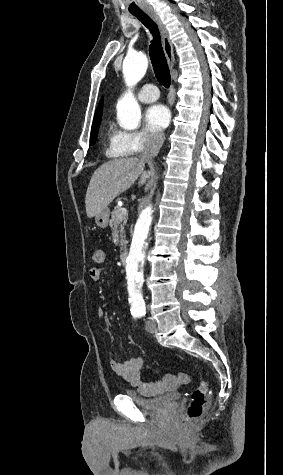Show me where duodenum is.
Wrapping results in <instances>:
<instances>
[{"instance_id": "obj_1", "label": "duodenum", "mask_w": 283, "mask_h": 475, "mask_svg": "<svg viewBox=\"0 0 283 475\" xmlns=\"http://www.w3.org/2000/svg\"><path fill=\"white\" fill-rule=\"evenodd\" d=\"M120 259H121V262L123 264H125L127 262V259H128V252L127 251H123L120 255Z\"/></svg>"}]
</instances>
